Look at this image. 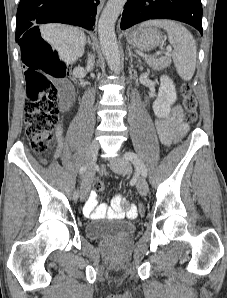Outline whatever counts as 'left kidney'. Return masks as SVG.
<instances>
[{"label": "left kidney", "instance_id": "5707ae66", "mask_svg": "<svg viewBox=\"0 0 227 298\" xmlns=\"http://www.w3.org/2000/svg\"><path fill=\"white\" fill-rule=\"evenodd\" d=\"M177 94L173 81L166 75L160 77V87L158 97L153 103V111L156 116L167 117L171 110V105L176 101Z\"/></svg>", "mask_w": 227, "mask_h": 298}]
</instances>
